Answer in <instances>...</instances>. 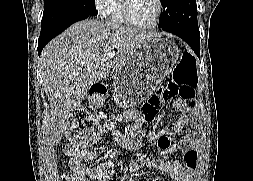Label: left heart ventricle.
Masks as SVG:
<instances>
[{"instance_id": "left-heart-ventricle-1", "label": "left heart ventricle", "mask_w": 253, "mask_h": 181, "mask_svg": "<svg viewBox=\"0 0 253 181\" xmlns=\"http://www.w3.org/2000/svg\"><path fill=\"white\" fill-rule=\"evenodd\" d=\"M130 9L136 21L151 23L157 12L156 0H130Z\"/></svg>"}]
</instances>
